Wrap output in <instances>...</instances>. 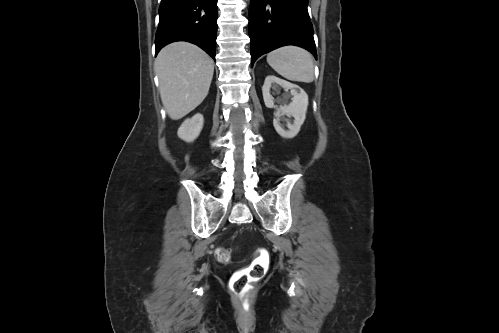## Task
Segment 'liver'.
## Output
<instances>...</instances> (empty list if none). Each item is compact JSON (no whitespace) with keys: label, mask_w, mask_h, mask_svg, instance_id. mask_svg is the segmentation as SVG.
I'll list each match as a JSON object with an SVG mask.
<instances>
[{"label":"liver","mask_w":499,"mask_h":333,"mask_svg":"<svg viewBox=\"0 0 499 333\" xmlns=\"http://www.w3.org/2000/svg\"><path fill=\"white\" fill-rule=\"evenodd\" d=\"M162 103L173 120L186 116L208 94L214 62L194 44L174 42L165 46L155 60Z\"/></svg>","instance_id":"obj_1"}]
</instances>
